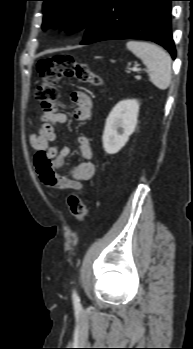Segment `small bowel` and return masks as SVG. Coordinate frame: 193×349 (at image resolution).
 <instances>
[{
	"mask_svg": "<svg viewBox=\"0 0 193 349\" xmlns=\"http://www.w3.org/2000/svg\"><path fill=\"white\" fill-rule=\"evenodd\" d=\"M75 105L73 116L77 121L86 122L92 116L93 100L84 91H74L70 95ZM41 125L37 132L29 134V143L35 152L34 163L41 181L48 187L80 190L84 181L95 175V165L92 162V147L87 136L77 138L78 150L82 161L67 168L66 160L70 155V148H58L56 129L65 123L67 116L61 111L43 112Z\"/></svg>",
	"mask_w": 193,
	"mask_h": 349,
	"instance_id": "c3829d8e",
	"label": "small bowel"
}]
</instances>
